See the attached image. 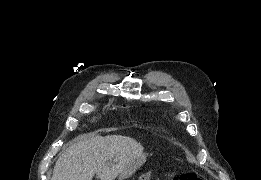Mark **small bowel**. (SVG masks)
<instances>
[{
    "instance_id": "obj_1",
    "label": "small bowel",
    "mask_w": 261,
    "mask_h": 180,
    "mask_svg": "<svg viewBox=\"0 0 261 180\" xmlns=\"http://www.w3.org/2000/svg\"><path fill=\"white\" fill-rule=\"evenodd\" d=\"M153 175V172L150 171L142 176L143 179H150Z\"/></svg>"
}]
</instances>
